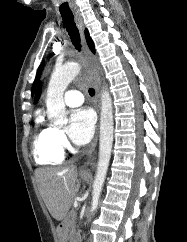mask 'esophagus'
Returning <instances> with one entry per match:
<instances>
[{"mask_svg":"<svg viewBox=\"0 0 187 242\" xmlns=\"http://www.w3.org/2000/svg\"><path fill=\"white\" fill-rule=\"evenodd\" d=\"M74 17H75V21H76V24L79 28L80 35H81V43H82V47H83L85 63L93 74L95 87H96V97H97V100L99 101V99H100V64H99L98 60L96 59V57L89 50L87 43L85 41L84 24H83V20H82L80 13L75 12ZM97 142H98V131L96 132L94 140H93L91 147H90V149L87 153L86 159L80 167L81 172H88L89 171V166H90V163H91L92 155H93L95 148L97 146Z\"/></svg>","mask_w":187,"mask_h":242,"instance_id":"34e87169","label":"esophagus"}]
</instances>
